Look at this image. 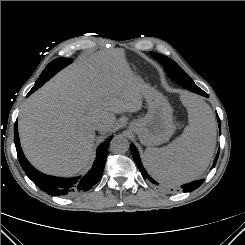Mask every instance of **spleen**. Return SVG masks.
Returning a JSON list of instances; mask_svg holds the SVG:
<instances>
[{
	"mask_svg": "<svg viewBox=\"0 0 245 245\" xmlns=\"http://www.w3.org/2000/svg\"><path fill=\"white\" fill-rule=\"evenodd\" d=\"M189 124L181 136L162 148H147L145 162L162 183L173 186L198 179L209 165L216 144L211 108L200 98L185 99Z\"/></svg>",
	"mask_w": 245,
	"mask_h": 245,
	"instance_id": "3e777b00",
	"label": "spleen"
}]
</instances>
